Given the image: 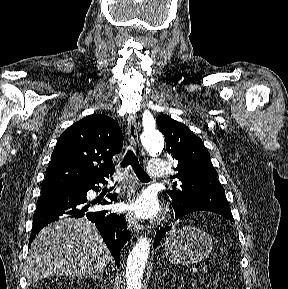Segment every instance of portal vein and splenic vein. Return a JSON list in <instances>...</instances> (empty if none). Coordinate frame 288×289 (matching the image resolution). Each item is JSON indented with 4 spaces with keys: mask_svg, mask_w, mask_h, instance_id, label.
<instances>
[{
    "mask_svg": "<svg viewBox=\"0 0 288 289\" xmlns=\"http://www.w3.org/2000/svg\"><path fill=\"white\" fill-rule=\"evenodd\" d=\"M203 273H207V264L204 263L203 267L201 268Z\"/></svg>",
    "mask_w": 288,
    "mask_h": 289,
    "instance_id": "18ae733b",
    "label": "portal vein and splenic vein"
}]
</instances>
